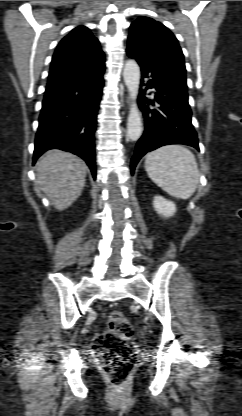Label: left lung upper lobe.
I'll return each instance as SVG.
<instances>
[{
	"instance_id": "1",
	"label": "left lung upper lobe",
	"mask_w": 242,
	"mask_h": 416,
	"mask_svg": "<svg viewBox=\"0 0 242 416\" xmlns=\"http://www.w3.org/2000/svg\"><path fill=\"white\" fill-rule=\"evenodd\" d=\"M128 48L146 57L166 80L187 92L184 56L173 33L163 24L139 17L130 26Z\"/></svg>"
}]
</instances>
